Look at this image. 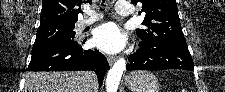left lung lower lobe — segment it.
I'll return each mask as SVG.
<instances>
[{"instance_id":"obj_1","label":"left lung lower lobe","mask_w":225,"mask_h":92,"mask_svg":"<svg viewBox=\"0 0 225 92\" xmlns=\"http://www.w3.org/2000/svg\"><path fill=\"white\" fill-rule=\"evenodd\" d=\"M139 46V50L129 57L128 70L194 69L187 46L144 41Z\"/></svg>"}]
</instances>
